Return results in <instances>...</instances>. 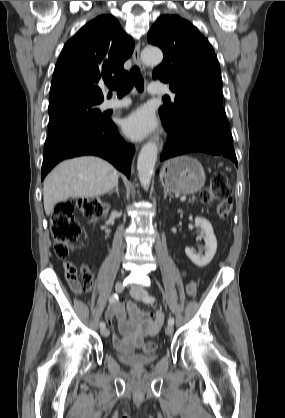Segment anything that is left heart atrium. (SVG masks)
I'll return each mask as SVG.
<instances>
[{
	"label": "left heart atrium",
	"instance_id": "39dd6f15",
	"mask_svg": "<svg viewBox=\"0 0 285 418\" xmlns=\"http://www.w3.org/2000/svg\"><path fill=\"white\" fill-rule=\"evenodd\" d=\"M157 128V119L147 106L133 110L123 121L124 133L133 140H142Z\"/></svg>",
	"mask_w": 285,
	"mask_h": 418
}]
</instances>
